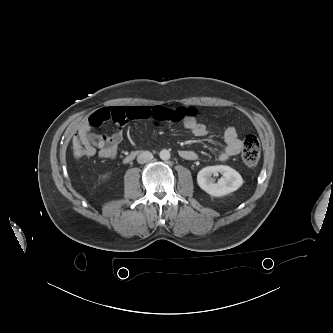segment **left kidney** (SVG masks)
Masks as SVG:
<instances>
[{"mask_svg": "<svg viewBox=\"0 0 333 333\" xmlns=\"http://www.w3.org/2000/svg\"><path fill=\"white\" fill-rule=\"evenodd\" d=\"M220 173L217 183L212 179V175ZM199 187L211 196H225L239 189L243 184L241 175L233 168L225 165L207 166L199 171L197 175Z\"/></svg>", "mask_w": 333, "mask_h": 333, "instance_id": "obj_1", "label": "left kidney"}]
</instances>
